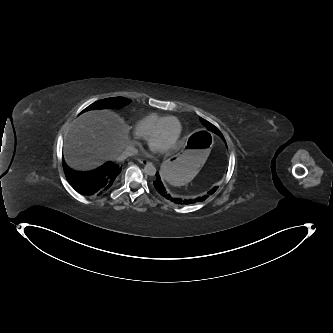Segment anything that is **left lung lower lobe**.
<instances>
[{
  "mask_svg": "<svg viewBox=\"0 0 333 333\" xmlns=\"http://www.w3.org/2000/svg\"><path fill=\"white\" fill-rule=\"evenodd\" d=\"M220 137L224 140L222 135H220ZM154 187L161 196L165 197L166 199L170 200L171 202H174L175 204L188 205V204L196 203L198 201H204L207 198V196H203V197H198L197 199L194 200V199H181V198L175 197L169 191L166 190L158 173H156V180L154 181ZM215 190H216V188H213L209 193H213Z\"/></svg>",
  "mask_w": 333,
  "mask_h": 333,
  "instance_id": "obj_1",
  "label": "left lung lower lobe"
}]
</instances>
